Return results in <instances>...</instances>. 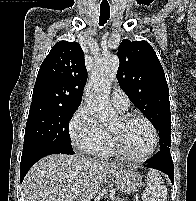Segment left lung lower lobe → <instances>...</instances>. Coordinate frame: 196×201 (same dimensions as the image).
Here are the masks:
<instances>
[{
    "label": "left lung lower lobe",
    "instance_id": "1",
    "mask_svg": "<svg viewBox=\"0 0 196 201\" xmlns=\"http://www.w3.org/2000/svg\"><path fill=\"white\" fill-rule=\"evenodd\" d=\"M148 168H154L167 174L172 183H174V165L170 155L169 147L160 149L145 165Z\"/></svg>",
    "mask_w": 196,
    "mask_h": 201
}]
</instances>
